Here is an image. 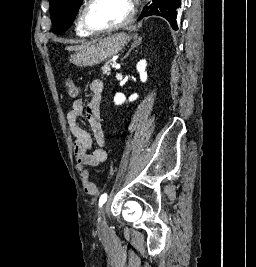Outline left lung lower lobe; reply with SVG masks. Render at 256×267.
<instances>
[{
    "label": "left lung lower lobe",
    "mask_w": 256,
    "mask_h": 267,
    "mask_svg": "<svg viewBox=\"0 0 256 267\" xmlns=\"http://www.w3.org/2000/svg\"><path fill=\"white\" fill-rule=\"evenodd\" d=\"M180 0H173V22L171 23V26L174 30H177L178 27H177V23H176V17H177V8L180 7Z\"/></svg>",
    "instance_id": "obj_1"
}]
</instances>
